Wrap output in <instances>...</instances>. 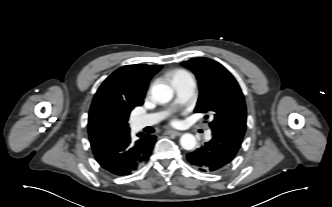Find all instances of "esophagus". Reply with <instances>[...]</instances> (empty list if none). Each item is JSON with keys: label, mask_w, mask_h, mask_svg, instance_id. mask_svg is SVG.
<instances>
[{"label": "esophagus", "mask_w": 332, "mask_h": 207, "mask_svg": "<svg viewBox=\"0 0 332 207\" xmlns=\"http://www.w3.org/2000/svg\"><path fill=\"white\" fill-rule=\"evenodd\" d=\"M165 134H168V135L172 134V135H175V136H180V135H182L181 132H179V131H175V130H167V131H165Z\"/></svg>", "instance_id": "34e87169"}]
</instances>
